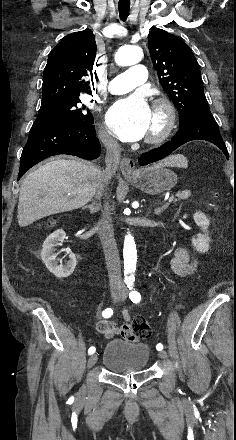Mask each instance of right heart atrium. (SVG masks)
<instances>
[{"label":"right heart atrium","instance_id":"d8ad5b80","mask_svg":"<svg viewBox=\"0 0 236 440\" xmlns=\"http://www.w3.org/2000/svg\"><path fill=\"white\" fill-rule=\"evenodd\" d=\"M98 136L100 141L107 147L113 148L115 146V140L111 136V134L108 132L106 127L102 125L99 129Z\"/></svg>","mask_w":236,"mask_h":440}]
</instances>
